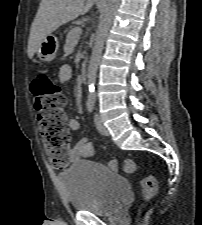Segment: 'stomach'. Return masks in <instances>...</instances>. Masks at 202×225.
Returning <instances> with one entry per match:
<instances>
[{
    "label": "stomach",
    "instance_id": "stomach-1",
    "mask_svg": "<svg viewBox=\"0 0 202 225\" xmlns=\"http://www.w3.org/2000/svg\"><path fill=\"white\" fill-rule=\"evenodd\" d=\"M59 42L54 35H47L40 43L36 53L38 58L44 62L52 61L57 54Z\"/></svg>",
    "mask_w": 202,
    "mask_h": 225
}]
</instances>
